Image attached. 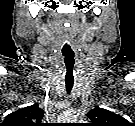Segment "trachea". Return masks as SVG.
<instances>
[{"label": "trachea", "instance_id": "trachea-1", "mask_svg": "<svg viewBox=\"0 0 135 126\" xmlns=\"http://www.w3.org/2000/svg\"><path fill=\"white\" fill-rule=\"evenodd\" d=\"M64 62H65V69H66L65 86H66V91L69 94L74 84L73 68H74L75 61L73 56H71V58L66 56Z\"/></svg>", "mask_w": 135, "mask_h": 126}]
</instances>
